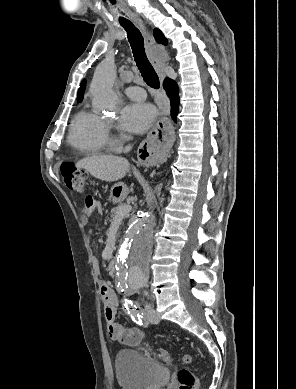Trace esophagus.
Listing matches in <instances>:
<instances>
[{
	"instance_id": "esophagus-1",
	"label": "esophagus",
	"mask_w": 296,
	"mask_h": 389,
	"mask_svg": "<svg viewBox=\"0 0 296 389\" xmlns=\"http://www.w3.org/2000/svg\"><path fill=\"white\" fill-rule=\"evenodd\" d=\"M135 23L143 32L148 58L161 81H163L165 78L163 62L157 54L154 37L140 18L135 19ZM173 130L172 122H155L152 129L147 131L146 135L142 137L138 152L140 166L143 169H152L155 163L161 161V158L169 156L172 144H175L177 139L176 133Z\"/></svg>"
}]
</instances>
